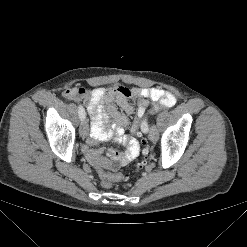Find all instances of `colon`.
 I'll return each instance as SVG.
<instances>
[{
	"mask_svg": "<svg viewBox=\"0 0 247 247\" xmlns=\"http://www.w3.org/2000/svg\"><path fill=\"white\" fill-rule=\"evenodd\" d=\"M118 91L123 94V95H128L129 94V89L123 86H120L118 88ZM166 108L165 105L163 104H157L154 107L150 108L149 110H147L145 112V114L141 117H137L132 124V132L137 135L138 137L142 136V132H143V126L144 124L147 122V118L154 114L155 112ZM141 153H142V158L141 160H139L136 164V169L138 171L142 170L146 164H147V160L149 157V147L147 144V141L142 138L141 139ZM98 174L101 178L102 181V185L105 188H110L112 186L113 182H117V181H121V180H126L127 176L122 174V173H109L106 172L104 170H100L98 171Z\"/></svg>",
	"mask_w": 247,
	"mask_h": 247,
	"instance_id": "obj_1",
	"label": "colon"
}]
</instances>
